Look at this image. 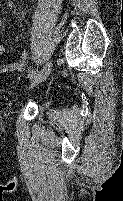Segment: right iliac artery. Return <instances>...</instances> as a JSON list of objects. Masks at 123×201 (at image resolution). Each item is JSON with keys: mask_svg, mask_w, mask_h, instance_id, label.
I'll return each instance as SVG.
<instances>
[{"mask_svg": "<svg viewBox=\"0 0 123 201\" xmlns=\"http://www.w3.org/2000/svg\"><path fill=\"white\" fill-rule=\"evenodd\" d=\"M38 73H39L38 71L32 70L29 72L28 78L30 79L34 78Z\"/></svg>", "mask_w": 123, "mask_h": 201, "instance_id": "right-iliac-artery-1", "label": "right iliac artery"}]
</instances>
